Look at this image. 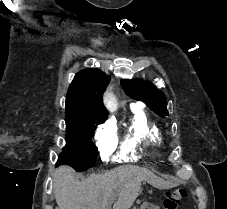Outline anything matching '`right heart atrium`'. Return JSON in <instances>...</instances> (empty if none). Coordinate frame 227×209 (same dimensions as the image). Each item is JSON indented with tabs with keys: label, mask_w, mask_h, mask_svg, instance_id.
I'll return each mask as SVG.
<instances>
[{
	"label": "right heart atrium",
	"mask_w": 227,
	"mask_h": 209,
	"mask_svg": "<svg viewBox=\"0 0 227 209\" xmlns=\"http://www.w3.org/2000/svg\"><path fill=\"white\" fill-rule=\"evenodd\" d=\"M95 141L103 159H107L115 150L118 142V134L112 123L101 124L95 133Z\"/></svg>",
	"instance_id": "right-heart-atrium-1"
}]
</instances>
